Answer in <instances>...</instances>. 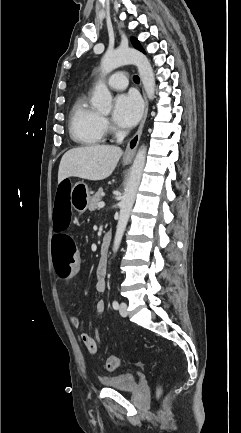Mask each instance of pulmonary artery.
Wrapping results in <instances>:
<instances>
[{
    "label": "pulmonary artery",
    "instance_id": "pulmonary-artery-1",
    "mask_svg": "<svg viewBox=\"0 0 241 433\" xmlns=\"http://www.w3.org/2000/svg\"><path fill=\"white\" fill-rule=\"evenodd\" d=\"M108 84L115 90H123L128 84L127 77L124 73H117L108 80Z\"/></svg>",
    "mask_w": 241,
    "mask_h": 433
}]
</instances>
